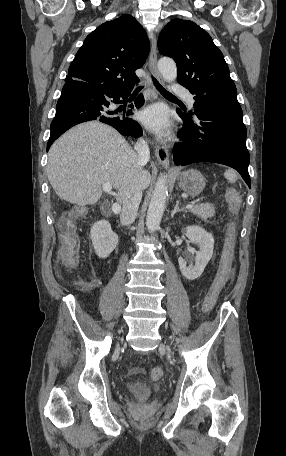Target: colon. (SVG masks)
I'll return each instance as SVG.
<instances>
[{
	"label": "colon",
	"instance_id": "5ec220e1",
	"mask_svg": "<svg viewBox=\"0 0 286 456\" xmlns=\"http://www.w3.org/2000/svg\"><path fill=\"white\" fill-rule=\"evenodd\" d=\"M226 197L230 209L233 212L237 211L240 203L238 193L234 189L229 188L226 191ZM79 245L80 242L74 221H65L60 250V262L65 269H72L77 266ZM233 246L234 237L233 234L230 233L223 251L217 278L203 300L202 309L204 312H209L213 308L221 290L231 280L235 273V268L233 266ZM78 284L84 288L91 285V283L85 279L78 280ZM163 374L164 372L161 367H154L151 370L150 377L153 381H159L163 377Z\"/></svg>",
	"mask_w": 286,
	"mask_h": 456
}]
</instances>
